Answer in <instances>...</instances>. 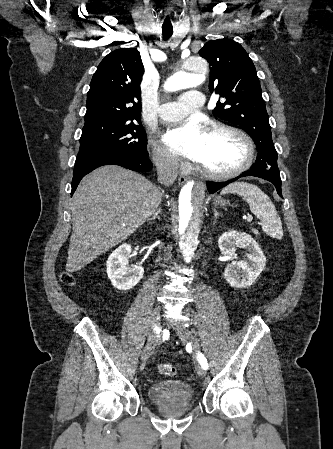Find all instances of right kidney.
I'll list each match as a JSON object with an SVG mask.
<instances>
[{"mask_svg":"<svg viewBox=\"0 0 333 449\" xmlns=\"http://www.w3.org/2000/svg\"><path fill=\"white\" fill-rule=\"evenodd\" d=\"M130 245L119 246L114 250L107 260V274L112 285L122 291L129 290L136 286L143 277L144 269L140 265L128 268Z\"/></svg>","mask_w":333,"mask_h":449,"instance_id":"ca27d5eb","label":"right kidney"}]
</instances>
